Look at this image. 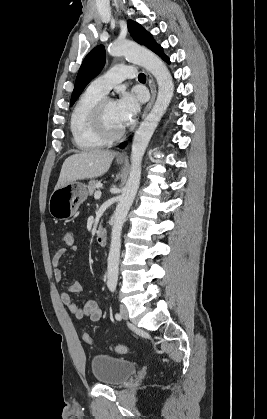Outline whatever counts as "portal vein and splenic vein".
Masks as SVG:
<instances>
[{"label":"portal vein and splenic vein","instance_id":"18ae733b","mask_svg":"<svg viewBox=\"0 0 267 419\" xmlns=\"http://www.w3.org/2000/svg\"><path fill=\"white\" fill-rule=\"evenodd\" d=\"M101 197V192L100 191H96L94 194V198L95 199H99Z\"/></svg>","mask_w":267,"mask_h":419}]
</instances>
